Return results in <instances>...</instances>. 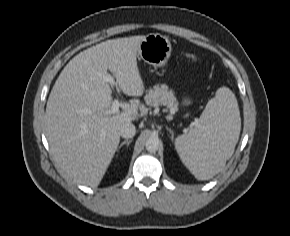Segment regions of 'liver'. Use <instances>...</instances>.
Returning <instances> with one entry per match:
<instances>
[{
    "label": "liver",
    "mask_w": 290,
    "mask_h": 236,
    "mask_svg": "<svg viewBox=\"0 0 290 236\" xmlns=\"http://www.w3.org/2000/svg\"><path fill=\"white\" fill-rule=\"evenodd\" d=\"M145 36L111 39L88 48L61 71L49 95L45 127L59 169L80 184L97 187L120 142V128L138 120L140 101L123 111L111 108L110 70L124 94L142 96L144 84L137 65Z\"/></svg>",
    "instance_id": "liver-1"
}]
</instances>
